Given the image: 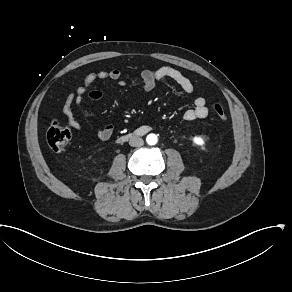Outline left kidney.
<instances>
[{"mask_svg":"<svg viewBox=\"0 0 292 292\" xmlns=\"http://www.w3.org/2000/svg\"><path fill=\"white\" fill-rule=\"evenodd\" d=\"M192 143L197 146L201 152H207V144L202 136L192 137Z\"/></svg>","mask_w":292,"mask_h":292,"instance_id":"1","label":"left kidney"}]
</instances>
